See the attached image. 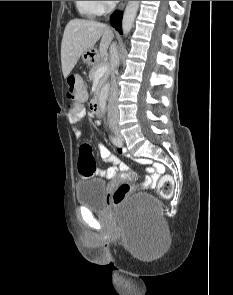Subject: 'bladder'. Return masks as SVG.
<instances>
[{"label":"bladder","instance_id":"31cf9c89","mask_svg":"<svg viewBox=\"0 0 233 295\" xmlns=\"http://www.w3.org/2000/svg\"><path fill=\"white\" fill-rule=\"evenodd\" d=\"M106 192V183L99 178L80 180L75 188L77 202L81 206L98 213L107 212ZM123 209L126 214L153 221L159 217L160 203L150 194L139 193L125 202Z\"/></svg>","mask_w":233,"mask_h":295}]
</instances>
